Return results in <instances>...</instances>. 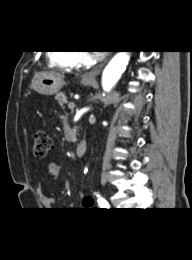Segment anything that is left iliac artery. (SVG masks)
<instances>
[{"label": "left iliac artery", "instance_id": "obj_1", "mask_svg": "<svg viewBox=\"0 0 192 260\" xmlns=\"http://www.w3.org/2000/svg\"><path fill=\"white\" fill-rule=\"evenodd\" d=\"M95 195L97 196V201H98L100 207L103 208V209H108L109 204L106 201V199L103 198L99 193H95Z\"/></svg>", "mask_w": 192, "mask_h": 260}]
</instances>
